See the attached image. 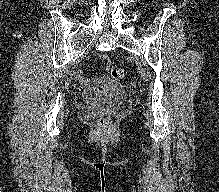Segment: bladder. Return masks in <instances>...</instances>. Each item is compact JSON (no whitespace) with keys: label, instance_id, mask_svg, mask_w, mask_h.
<instances>
[{"label":"bladder","instance_id":"31cf9c89","mask_svg":"<svg viewBox=\"0 0 219 192\" xmlns=\"http://www.w3.org/2000/svg\"><path fill=\"white\" fill-rule=\"evenodd\" d=\"M120 96L122 87L116 83H107L99 91L86 93L84 103L91 110H100L109 108Z\"/></svg>","mask_w":219,"mask_h":192}]
</instances>
